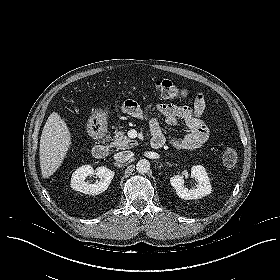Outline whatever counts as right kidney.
Wrapping results in <instances>:
<instances>
[{"instance_id":"1","label":"right kidney","mask_w":280,"mask_h":280,"mask_svg":"<svg viewBox=\"0 0 280 280\" xmlns=\"http://www.w3.org/2000/svg\"><path fill=\"white\" fill-rule=\"evenodd\" d=\"M99 178L94 184L86 182V178L92 175ZM114 172L106 167H98L94 170L90 165H84L76 169L72 174L70 186L73 190L89 195H97L104 192L110 185Z\"/></svg>"}]
</instances>
